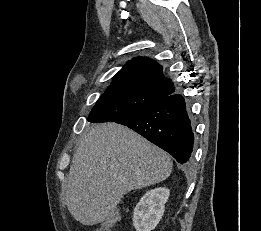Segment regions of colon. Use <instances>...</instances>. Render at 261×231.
Listing matches in <instances>:
<instances>
[{"label":"colon","instance_id":"5ec220e1","mask_svg":"<svg viewBox=\"0 0 261 231\" xmlns=\"http://www.w3.org/2000/svg\"><path fill=\"white\" fill-rule=\"evenodd\" d=\"M119 219V210L112 209L105 222L96 227L93 231H111L112 225Z\"/></svg>","mask_w":261,"mask_h":231}]
</instances>
